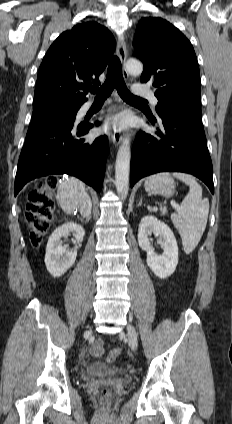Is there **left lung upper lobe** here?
Masks as SVG:
<instances>
[{
  "label": "left lung upper lobe",
  "mask_w": 232,
  "mask_h": 424,
  "mask_svg": "<svg viewBox=\"0 0 232 424\" xmlns=\"http://www.w3.org/2000/svg\"><path fill=\"white\" fill-rule=\"evenodd\" d=\"M136 55L144 64L141 82L153 80L158 103L201 101L200 73L189 40L160 17L142 18L134 35Z\"/></svg>",
  "instance_id": "1"
}]
</instances>
